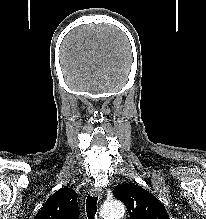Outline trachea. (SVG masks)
Instances as JSON below:
<instances>
[{"label": "trachea", "instance_id": "3493384b", "mask_svg": "<svg viewBox=\"0 0 206 219\" xmlns=\"http://www.w3.org/2000/svg\"><path fill=\"white\" fill-rule=\"evenodd\" d=\"M97 200L98 196L88 195L86 199V212L88 219H95L97 212Z\"/></svg>", "mask_w": 206, "mask_h": 219}]
</instances>
